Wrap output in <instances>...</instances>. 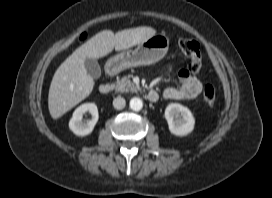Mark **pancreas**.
Segmentation results:
<instances>
[{"label":"pancreas","mask_w":272,"mask_h":198,"mask_svg":"<svg viewBox=\"0 0 272 198\" xmlns=\"http://www.w3.org/2000/svg\"><path fill=\"white\" fill-rule=\"evenodd\" d=\"M114 87L116 92L120 93L137 91L135 84L130 80L129 76H124L121 79H118L114 84Z\"/></svg>","instance_id":"pancreas-1"}]
</instances>
